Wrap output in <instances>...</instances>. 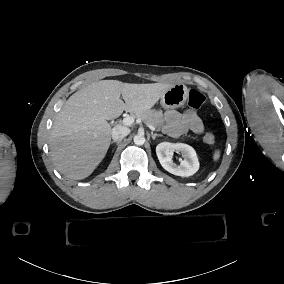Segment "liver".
<instances>
[{
	"label": "liver",
	"instance_id": "liver-1",
	"mask_svg": "<svg viewBox=\"0 0 284 284\" xmlns=\"http://www.w3.org/2000/svg\"><path fill=\"white\" fill-rule=\"evenodd\" d=\"M172 86L101 80L74 93L58 113L49 138L57 170L74 180L89 176L110 146L112 130L107 120L123 111L152 108Z\"/></svg>",
	"mask_w": 284,
	"mask_h": 284
}]
</instances>
